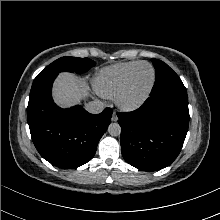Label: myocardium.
<instances>
[{
    "label": "myocardium",
    "instance_id": "myocardium-1",
    "mask_svg": "<svg viewBox=\"0 0 220 220\" xmlns=\"http://www.w3.org/2000/svg\"><path fill=\"white\" fill-rule=\"evenodd\" d=\"M142 65H147L150 67L151 72H152V77H151V81L148 85V87L146 88V90L136 99H130L129 98V93H130V89H131V83H132V79L133 76L136 72V70L142 66ZM155 79H156V73L155 70L153 68V66L148 63V62H139L137 63L133 69L129 72L122 88L120 89V91L118 92L117 96H116V103L117 105L124 111H135L137 109H139L140 107H142L146 101L149 99L154 84H155Z\"/></svg>",
    "mask_w": 220,
    "mask_h": 220
}]
</instances>
